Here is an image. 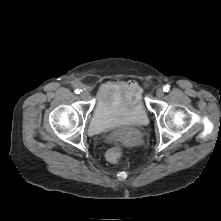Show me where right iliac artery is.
<instances>
[{"label": "right iliac artery", "instance_id": "obj_1", "mask_svg": "<svg viewBox=\"0 0 221 221\" xmlns=\"http://www.w3.org/2000/svg\"><path fill=\"white\" fill-rule=\"evenodd\" d=\"M80 91H81V90L76 89V90H75V93H76V94H79V93H80Z\"/></svg>", "mask_w": 221, "mask_h": 221}]
</instances>
